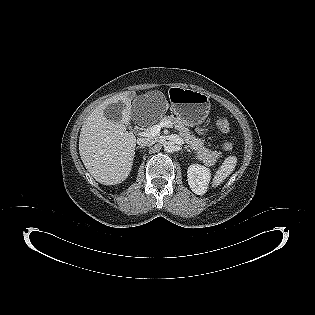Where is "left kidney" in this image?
<instances>
[{
	"label": "left kidney",
	"mask_w": 315,
	"mask_h": 315,
	"mask_svg": "<svg viewBox=\"0 0 315 315\" xmlns=\"http://www.w3.org/2000/svg\"><path fill=\"white\" fill-rule=\"evenodd\" d=\"M188 184L191 190L197 194L202 195L207 191L210 181V170L198 164L191 165L187 171Z\"/></svg>",
	"instance_id": "1"
}]
</instances>
